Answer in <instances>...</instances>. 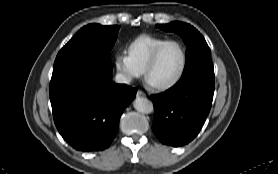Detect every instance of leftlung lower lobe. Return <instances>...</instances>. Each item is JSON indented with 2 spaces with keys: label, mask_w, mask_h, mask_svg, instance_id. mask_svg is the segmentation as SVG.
I'll use <instances>...</instances> for the list:
<instances>
[{
  "label": "left lung lower lobe",
  "mask_w": 278,
  "mask_h": 174,
  "mask_svg": "<svg viewBox=\"0 0 278 174\" xmlns=\"http://www.w3.org/2000/svg\"><path fill=\"white\" fill-rule=\"evenodd\" d=\"M214 88V78L197 75L152 95V130L160 142L176 147L193 140L209 114Z\"/></svg>",
  "instance_id": "obj_1"
}]
</instances>
